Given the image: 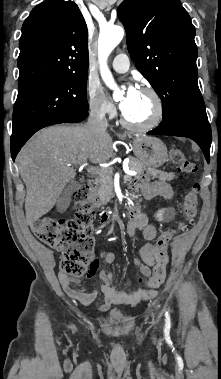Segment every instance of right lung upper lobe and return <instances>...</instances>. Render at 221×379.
I'll use <instances>...</instances> for the list:
<instances>
[{
	"instance_id": "1",
	"label": "right lung upper lobe",
	"mask_w": 221,
	"mask_h": 379,
	"mask_svg": "<svg viewBox=\"0 0 221 379\" xmlns=\"http://www.w3.org/2000/svg\"><path fill=\"white\" fill-rule=\"evenodd\" d=\"M18 85L62 75L88 74V30L71 1L46 0L22 26Z\"/></svg>"
}]
</instances>
